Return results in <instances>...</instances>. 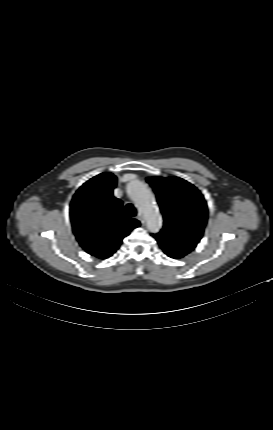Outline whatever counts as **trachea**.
Masks as SVG:
<instances>
[{
	"mask_svg": "<svg viewBox=\"0 0 273 430\" xmlns=\"http://www.w3.org/2000/svg\"><path fill=\"white\" fill-rule=\"evenodd\" d=\"M137 214L135 207L132 204H127L125 207V216L134 217Z\"/></svg>",
	"mask_w": 273,
	"mask_h": 430,
	"instance_id": "trachea-1",
	"label": "trachea"
}]
</instances>
